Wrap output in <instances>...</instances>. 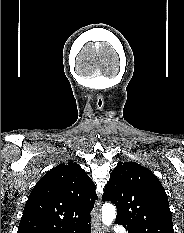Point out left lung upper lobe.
I'll use <instances>...</instances> for the list:
<instances>
[{"mask_svg": "<svg viewBox=\"0 0 184 233\" xmlns=\"http://www.w3.org/2000/svg\"><path fill=\"white\" fill-rule=\"evenodd\" d=\"M103 201L117 207L116 223L128 233H174L167 194L157 177L135 162H119Z\"/></svg>", "mask_w": 184, "mask_h": 233, "instance_id": "1", "label": "left lung upper lobe"}]
</instances>
